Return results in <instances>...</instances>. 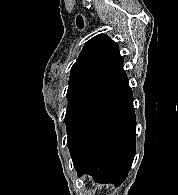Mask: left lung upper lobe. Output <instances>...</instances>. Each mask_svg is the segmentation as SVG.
I'll return each mask as SVG.
<instances>
[{"label":"left lung upper lobe","mask_w":178,"mask_h":195,"mask_svg":"<svg viewBox=\"0 0 178 195\" xmlns=\"http://www.w3.org/2000/svg\"><path fill=\"white\" fill-rule=\"evenodd\" d=\"M119 46L105 34L90 39L71 68L65 115L67 143L128 86Z\"/></svg>","instance_id":"1"}]
</instances>
